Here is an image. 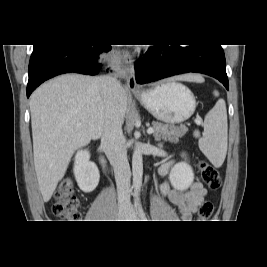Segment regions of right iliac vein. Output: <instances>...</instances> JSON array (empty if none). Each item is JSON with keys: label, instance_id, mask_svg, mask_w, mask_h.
<instances>
[{"label": "right iliac vein", "instance_id": "obj_1", "mask_svg": "<svg viewBox=\"0 0 267 267\" xmlns=\"http://www.w3.org/2000/svg\"><path fill=\"white\" fill-rule=\"evenodd\" d=\"M127 215H128V212H127V211H125V210H120V211L118 212V219H120V220H124V219L127 218Z\"/></svg>", "mask_w": 267, "mask_h": 267}]
</instances>
